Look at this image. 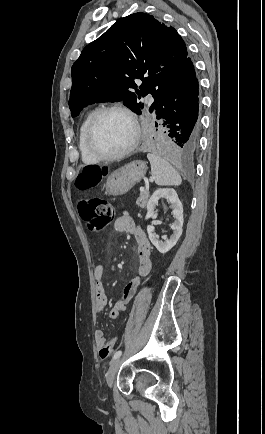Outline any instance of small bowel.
I'll return each mask as SVG.
<instances>
[{"label": "small bowel", "mask_w": 265, "mask_h": 434, "mask_svg": "<svg viewBox=\"0 0 265 434\" xmlns=\"http://www.w3.org/2000/svg\"><path fill=\"white\" fill-rule=\"evenodd\" d=\"M114 228L118 232H126L134 236L137 243V253L139 259V268L135 277H133L123 288L120 300L110 310L109 317L111 319H117L120 313L127 310L128 303L135 296L142 277L149 274L151 270V244L142 228L136 223L133 217L124 212L121 214L114 223ZM94 275L96 278L95 285V307L98 313H101L108 304V297L103 283L104 266L98 265L95 268ZM96 347L99 348L101 340H107L103 330L98 329L94 334Z\"/></svg>", "instance_id": "c3829d8e"}]
</instances>
